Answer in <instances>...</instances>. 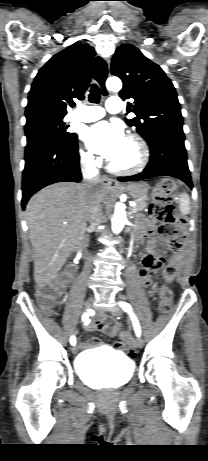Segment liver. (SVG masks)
<instances>
[{"label":"liver","instance_id":"1","mask_svg":"<svg viewBox=\"0 0 208 461\" xmlns=\"http://www.w3.org/2000/svg\"><path fill=\"white\" fill-rule=\"evenodd\" d=\"M100 203L107 197L97 188ZM88 190L84 184L62 182L49 185L31 197L26 221L34 248V280L48 284L79 244L89 215Z\"/></svg>","mask_w":208,"mask_h":461}]
</instances>
